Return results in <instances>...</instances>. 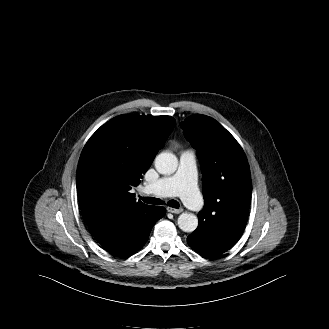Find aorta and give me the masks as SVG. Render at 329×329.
Wrapping results in <instances>:
<instances>
[{
	"label": "aorta",
	"instance_id": "aorta-1",
	"mask_svg": "<svg viewBox=\"0 0 329 329\" xmlns=\"http://www.w3.org/2000/svg\"><path fill=\"white\" fill-rule=\"evenodd\" d=\"M178 159L170 152H162L155 158V168L160 174L170 175L177 170ZM198 226V218L192 213H182L178 217V227L184 232H193Z\"/></svg>",
	"mask_w": 329,
	"mask_h": 329
}]
</instances>
